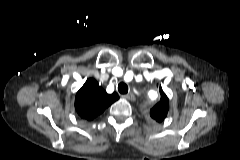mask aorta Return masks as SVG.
<instances>
[{
  "label": "aorta",
  "mask_w": 240,
  "mask_h": 160,
  "mask_svg": "<svg viewBox=\"0 0 240 160\" xmlns=\"http://www.w3.org/2000/svg\"><path fill=\"white\" fill-rule=\"evenodd\" d=\"M152 93H154V92H149L148 93V97L150 98V99H152L153 100V102L156 100V96L155 97H152Z\"/></svg>",
  "instance_id": "1"
}]
</instances>
